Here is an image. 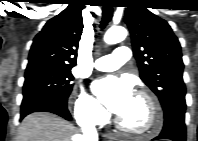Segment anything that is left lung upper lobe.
<instances>
[{"label":"left lung upper lobe","mask_w":198,"mask_h":141,"mask_svg":"<svg viewBox=\"0 0 198 141\" xmlns=\"http://www.w3.org/2000/svg\"><path fill=\"white\" fill-rule=\"evenodd\" d=\"M125 22L131 33L140 77L158 96L163 110L185 103L181 46L169 24L151 13L143 0L129 4Z\"/></svg>","instance_id":"1"}]
</instances>
